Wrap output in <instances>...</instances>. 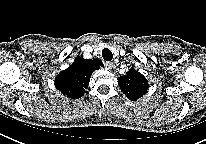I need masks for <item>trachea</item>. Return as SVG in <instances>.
<instances>
[{
	"instance_id": "1",
	"label": "trachea",
	"mask_w": 206,
	"mask_h": 144,
	"mask_svg": "<svg viewBox=\"0 0 206 144\" xmlns=\"http://www.w3.org/2000/svg\"><path fill=\"white\" fill-rule=\"evenodd\" d=\"M102 57L106 61H111L113 59V54L108 48L102 50Z\"/></svg>"
}]
</instances>
